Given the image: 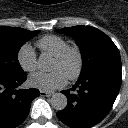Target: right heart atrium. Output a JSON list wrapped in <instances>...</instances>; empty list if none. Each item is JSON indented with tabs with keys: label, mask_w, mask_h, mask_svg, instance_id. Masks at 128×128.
<instances>
[{
	"label": "right heart atrium",
	"mask_w": 128,
	"mask_h": 128,
	"mask_svg": "<svg viewBox=\"0 0 128 128\" xmlns=\"http://www.w3.org/2000/svg\"><path fill=\"white\" fill-rule=\"evenodd\" d=\"M17 60L24 71L33 72L37 69V56L30 44H24L19 48Z\"/></svg>",
	"instance_id": "right-heart-atrium-1"
}]
</instances>
